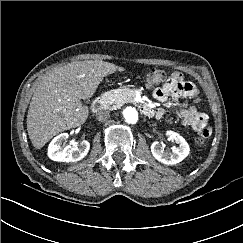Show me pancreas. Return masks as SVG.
Listing matches in <instances>:
<instances>
[{"label":"pancreas","mask_w":243,"mask_h":243,"mask_svg":"<svg viewBox=\"0 0 243 243\" xmlns=\"http://www.w3.org/2000/svg\"><path fill=\"white\" fill-rule=\"evenodd\" d=\"M102 98L105 100L107 107L117 109L125 103L132 102L135 98V93L128 89H117L105 92Z\"/></svg>","instance_id":"pancreas-1"}]
</instances>
